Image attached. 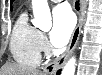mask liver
Here are the masks:
<instances>
[{
	"instance_id": "1",
	"label": "liver",
	"mask_w": 102,
	"mask_h": 75,
	"mask_svg": "<svg viewBox=\"0 0 102 75\" xmlns=\"http://www.w3.org/2000/svg\"><path fill=\"white\" fill-rule=\"evenodd\" d=\"M0 75H44L37 69L22 67L18 64L7 63L0 68Z\"/></svg>"
}]
</instances>
